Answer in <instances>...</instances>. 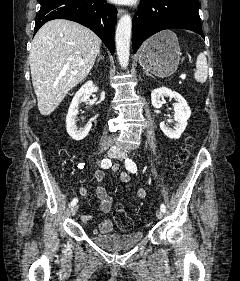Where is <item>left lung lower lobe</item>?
Segmentation results:
<instances>
[{
	"mask_svg": "<svg viewBox=\"0 0 240 281\" xmlns=\"http://www.w3.org/2000/svg\"><path fill=\"white\" fill-rule=\"evenodd\" d=\"M177 28L194 31L205 38L198 12V0H142L138 13L133 18V52L153 34Z\"/></svg>",
	"mask_w": 240,
	"mask_h": 281,
	"instance_id": "1",
	"label": "left lung lower lobe"
}]
</instances>
